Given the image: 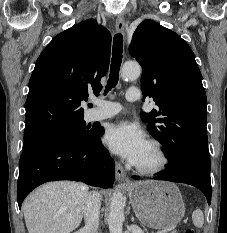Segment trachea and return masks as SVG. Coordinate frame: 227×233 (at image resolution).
I'll return each mask as SVG.
<instances>
[{
	"instance_id": "trachea-1",
	"label": "trachea",
	"mask_w": 227,
	"mask_h": 233,
	"mask_svg": "<svg viewBox=\"0 0 227 233\" xmlns=\"http://www.w3.org/2000/svg\"><path fill=\"white\" fill-rule=\"evenodd\" d=\"M123 37L120 33L114 36L110 75L107 82L105 94L115 87L119 80V70L122 63Z\"/></svg>"
}]
</instances>
